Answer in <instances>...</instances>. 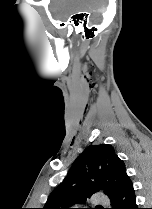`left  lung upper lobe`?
<instances>
[{"label": "left lung upper lobe", "instance_id": "1", "mask_svg": "<svg viewBox=\"0 0 152 209\" xmlns=\"http://www.w3.org/2000/svg\"><path fill=\"white\" fill-rule=\"evenodd\" d=\"M129 178L124 162L108 144L87 147L64 181L49 195L43 209H71L99 190L112 198Z\"/></svg>", "mask_w": 152, "mask_h": 209}]
</instances>
